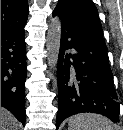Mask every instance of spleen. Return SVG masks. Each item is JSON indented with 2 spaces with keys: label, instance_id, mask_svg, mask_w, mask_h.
Returning a JSON list of instances; mask_svg holds the SVG:
<instances>
[{
  "label": "spleen",
  "instance_id": "spleen-1",
  "mask_svg": "<svg viewBox=\"0 0 123 130\" xmlns=\"http://www.w3.org/2000/svg\"><path fill=\"white\" fill-rule=\"evenodd\" d=\"M68 130H114V124L100 114L82 113L69 118Z\"/></svg>",
  "mask_w": 123,
  "mask_h": 130
}]
</instances>
